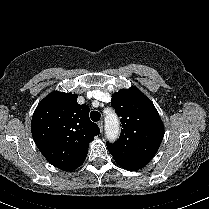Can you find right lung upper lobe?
I'll list each match as a JSON object with an SVG mask.
<instances>
[{"label": "right lung upper lobe", "mask_w": 209, "mask_h": 209, "mask_svg": "<svg viewBox=\"0 0 209 209\" xmlns=\"http://www.w3.org/2000/svg\"><path fill=\"white\" fill-rule=\"evenodd\" d=\"M34 141L53 166L72 171L83 164L88 145L100 133L89 119V107L77 103V95L54 91L34 111Z\"/></svg>", "instance_id": "1"}]
</instances>
